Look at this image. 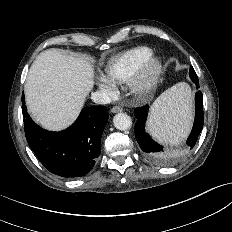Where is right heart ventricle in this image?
Wrapping results in <instances>:
<instances>
[{
	"label": "right heart ventricle",
	"mask_w": 232,
	"mask_h": 232,
	"mask_svg": "<svg viewBox=\"0 0 232 232\" xmlns=\"http://www.w3.org/2000/svg\"><path fill=\"white\" fill-rule=\"evenodd\" d=\"M153 53L150 47L137 46L113 56L105 65L106 77L115 82L129 81Z\"/></svg>",
	"instance_id": "e07e8e85"
}]
</instances>
